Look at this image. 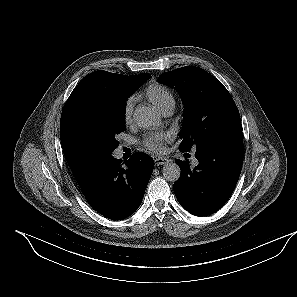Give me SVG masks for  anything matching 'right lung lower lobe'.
Listing matches in <instances>:
<instances>
[{"instance_id":"obj_1","label":"right lung lower lobe","mask_w":297,"mask_h":297,"mask_svg":"<svg viewBox=\"0 0 297 297\" xmlns=\"http://www.w3.org/2000/svg\"><path fill=\"white\" fill-rule=\"evenodd\" d=\"M154 168V160L136 152L127 162L113 156L95 167L80 185L91 207L113 220H122L140 206Z\"/></svg>"}]
</instances>
